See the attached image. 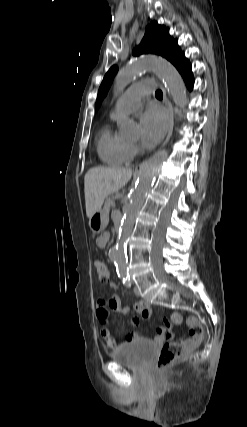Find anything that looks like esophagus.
I'll return each mask as SVG.
<instances>
[{"instance_id": "esophagus-1", "label": "esophagus", "mask_w": 247, "mask_h": 427, "mask_svg": "<svg viewBox=\"0 0 247 427\" xmlns=\"http://www.w3.org/2000/svg\"><path fill=\"white\" fill-rule=\"evenodd\" d=\"M160 87H161V89H162V91H163V96H164V98H163V101H164V103H165V105H166V107L168 108V110H169V128H168V134H167V137H166V139L164 140V142H163V144H162V147H164L167 143H168V141L170 140V138H171V135H172V132H173V126H174V110H173V106H172V104H171V102L169 101V99H168V96H167V93H166V90H165V88L162 86V85H160ZM149 160L150 159H146V160H144L143 162H141L136 168H135V170L138 172V171H141L144 167H145V165L149 162Z\"/></svg>"}]
</instances>
